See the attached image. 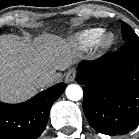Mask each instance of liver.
Returning <instances> with one entry per match:
<instances>
[{
  "label": "liver",
  "mask_w": 139,
  "mask_h": 139,
  "mask_svg": "<svg viewBox=\"0 0 139 139\" xmlns=\"http://www.w3.org/2000/svg\"><path fill=\"white\" fill-rule=\"evenodd\" d=\"M76 60L71 45L64 39L43 34L33 42L15 36H0V101L22 102L40 89L36 82L45 73L61 77Z\"/></svg>",
  "instance_id": "1"
}]
</instances>
